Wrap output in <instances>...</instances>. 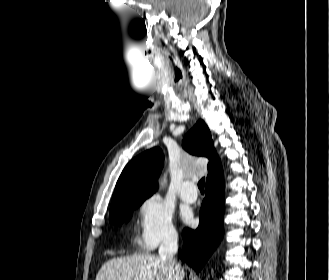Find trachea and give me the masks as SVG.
Returning <instances> with one entry per match:
<instances>
[{
  "label": "trachea",
  "mask_w": 329,
  "mask_h": 280,
  "mask_svg": "<svg viewBox=\"0 0 329 280\" xmlns=\"http://www.w3.org/2000/svg\"><path fill=\"white\" fill-rule=\"evenodd\" d=\"M204 185H205V178H201V180L198 182V188L200 191H204Z\"/></svg>",
  "instance_id": "trachea-1"
}]
</instances>
